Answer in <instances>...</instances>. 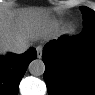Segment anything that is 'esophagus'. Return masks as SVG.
<instances>
[{"label":"esophagus","mask_w":95,"mask_h":95,"mask_svg":"<svg viewBox=\"0 0 95 95\" xmlns=\"http://www.w3.org/2000/svg\"><path fill=\"white\" fill-rule=\"evenodd\" d=\"M36 51H37V57L41 58L42 57V53H43V47L41 45L36 47Z\"/></svg>","instance_id":"obj_1"}]
</instances>
